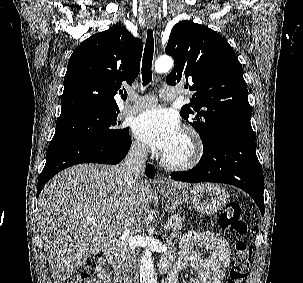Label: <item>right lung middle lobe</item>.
Listing matches in <instances>:
<instances>
[{
    "label": "right lung middle lobe",
    "instance_id": "right-lung-middle-lobe-1",
    "mask_svg": "<svg viewBox=\"0 0 303 283\" xmlns=\"http://www.w3.org/2000/svg\"><path fill=\"white\" fill-rule=\"evenodd\" d=\"M118 113L119 111L86 110L60 116L51 142L68 139L104 143L121 142L128 136V129L119 127Z\"/></svg>",
    "mask_w": 303,
    "mask_h": 283
}]
</instances>
